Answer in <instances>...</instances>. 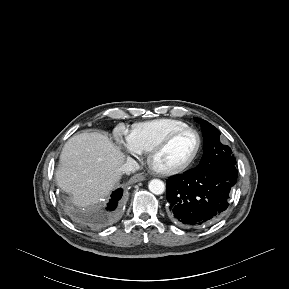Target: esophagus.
<instances>
[{"label":"esophagus","mask_w":289,"mask_h":289,"mask_svg":"<svg viewBox=\"0 0 289 289\" xmlns=\"http://www.w3.org/2000/svg\"><path fill=\"white\" fill-rule=\"evenodd\" d=\"M146 179V177L142 174H136L134 176H132L130 179H129V183L130 184H133V183H137V182H140V181H144Z\"/></svg>","instance_id":"obj_1"}]
</instances>
